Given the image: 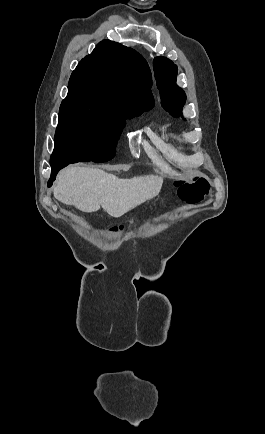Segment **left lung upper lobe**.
I'll use <instances>...</instances> for the list:
<instances>
[{
	"mask_svg": "<svg viewBox=\"0 0 265 434\" xmlns=\"http://www.w3.org/2000/svg\"><path fill=\"white\" fill-rule=\"evenodd\" d=\"M153 69L162 106L173 117H179L186 101V95L176 84L177 66L165 57H156L153 60Z\"/></svg>",
	"mask_w": 265,
	"mask_h": 434,
	"instance_id": "left-lung-upper-lobe-1",
	"label": "left lung upper lobe"
}]
</instances>
